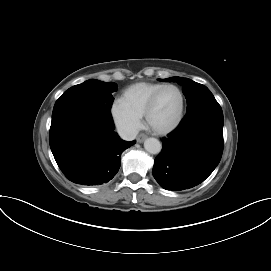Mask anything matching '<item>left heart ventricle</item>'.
Returning a JSON list of instances; mask_svg holds the SVG:
<instances>
[{"instance_id":"1","label":"left heart ventricle","mask_w":271,"mask_h":271,"mask_svg":"<svg viewBox=\"0 0 271 271\" xmlns=\"http://www.w3.org/2000/svg\"><path fill=\"white\" fill-rule=\"evenodd\" d=\"M180 95L173 88L166 89L159 97L150 116L151 125L155 128H165L172 124L180 110Z\"/></svg>"}]
</instances>
